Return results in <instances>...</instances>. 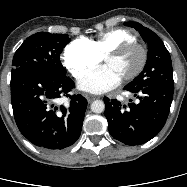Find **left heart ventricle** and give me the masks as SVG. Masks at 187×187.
Wrapping results in <instances>:
<instances>
[{
  "mask_svg": "<svg viewBox=\"0 0 187 187\" xmlns=\"http://www.w3.org/2000/svg\"><path fill=\"white\" fill-rule=\"evenodd\" d=\"M140 51L132 49L118 57H108L104 60L105 64L115 70L121 78L131 73L140 61Z\"/></svg>",
  "mask_w": 187,
  "mask_h": 187,
  "instance_id": "1",
  "label": "left heart ventricle"
}]
</instances>
